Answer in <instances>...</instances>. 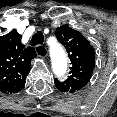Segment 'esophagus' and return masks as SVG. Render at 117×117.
Returning <instances> with one entry per match:
<instances>
[{
    "label": "esophagus",
    "mask_w": 117,
    "mask_h": 117,
    "mask_svg": "<svg viewBox=\"0 0 117 117\" xmlns=\"http://www.w3.org/2000/svg\"><path fill=\"white\" fill-rule=\"evenodd\" d=\"M40 46H41L40 50L37 51V49H36V53H37V55H38L39 57H41V58H46L47 55H48L47 48H46L45 46H43V45H38L37 47H40ZM37 47H36V48H37Z\"/></svg>",
    "instance_id": "34e87169"
}]
</instances>
